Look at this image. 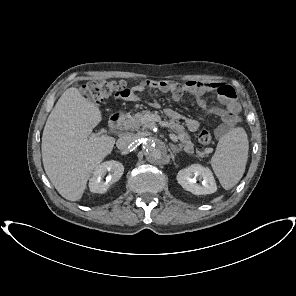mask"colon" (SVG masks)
I'll return each mask as SVG.
<instances>
[{"instance_id": "5ec220e1", "label": "colon", "mask_w": 296, "mask_h": 296, "mask_svg": "<svg viewBox=\"0 0 296 296\" xmlns=\"http://www.w3.org/2000/svg\"><path fill=\"white\" fill-rule=\"evenodd\" d=\"M128 89L123 81H91L82 86L81 92L91 101L100 102L111 96L123 97ZM198 140L202 145H208L212 141L209 131L202 130L198 135Z\"/></svg>"}]
</instances>
